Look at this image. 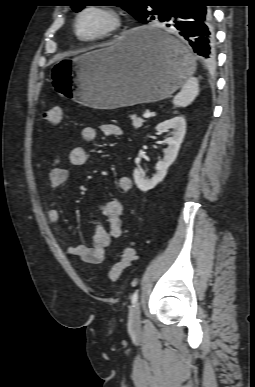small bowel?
<instances>
[{
    "mask_svg": "<svg viewBox=\"0 0 255 387\" xmlns=\"http://www.w3.org/2000/svg\"><path fill=\"white\" fill-rule=\"evenodd\" d=\"M98 130L104 136L120 137L123 135V129L114 123H105L94 127H84L81 130L80 138L85 144L93 142L98 134ZM88 155L86 150L77 146L70 150L68 154V162L72 166H82L87 163ZM63 159L56 157L49 170L48 178L50 186L58 188L64 185L70 177V172L66 167L62 166ZM118 189L123 192H129L132 189V180L128 176H121L117 182ZM99 217L108 224L106 228L103 222L98 218L95 222V229L90 244H81L70 246L67 248V253L77 257L84 263L99 264L104 260L105 252L112 245L113 241L120 238L122 234V226L124 220L123 204L117 199H110L99 206ZM60 220L59 211L56 208H51L48 211V221L56 225Z\"/></svg>",
    "mask_w": 255,
    "mask_h": 387,
    "instance_id": "c3829d8e",
    "label": "small bowel"
}]
</instances>
